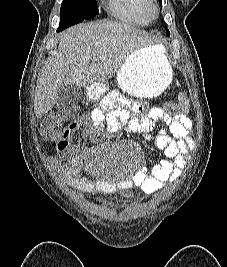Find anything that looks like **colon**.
<instances>
[{
    "label": "colon",
    "mask_w": 227,
    "mask_h": 267,
    "mask_svg": "<svg viewBox=\"0 0 227 267\" xmlns=\"http://www.w3.org/2000/svg\"><path fill=\"white\" fill-rule=\"evenodd\" d=\"M163 105L169 113H175L178 111V106L173 103L172 100H163ZM76 113V109L68 112H58L48 114L40 124V134L43 138L51 141H58V144L62 141L64 123L67 121L70 115ZM57 144V145H58Z\"/></svg>",
    "instance_id": "obj_1"
}]
</instances>
